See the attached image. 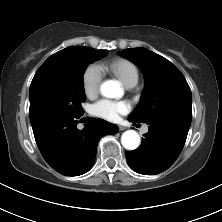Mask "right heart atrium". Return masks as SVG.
<instances>
[{
    "mask_svg": "<svg viewBox=\"0 0 222 222\" xmlns=\"http://www.w3.org/2000/svg\"><path fill=\"white\" fill-rule=\"evenodd\" d=\"M102 79L103 71L98 64L93 63L86 67L82 75V85L88 97L98 94Z\"/></svg>",
    "mask_w": 222,
    "mask_h": 222,
    "instance_id": "d8ad5b80",
    "label": "right heart atrium"
}]
</instances>
